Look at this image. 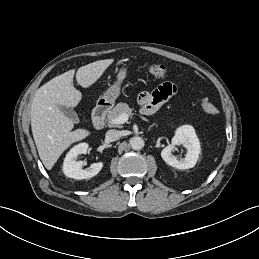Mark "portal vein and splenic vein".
I'll return each mask as SVG.
<instances>
[{"label": "portal vein and splenic vein", "mask_w": 259, "mask_h": 259, "mask_svg": "<svg viewBox=\"0 0 259 259\" xmlns=\"http://www.w3.org/2000/svg\"><path fill=\"white\" fill-rule=\"evenodd\" d=\"M129 120V115L122 113L117 118L111 121V124H124Z\"/></svg>", "instance_id": "1"}]
</instances>
